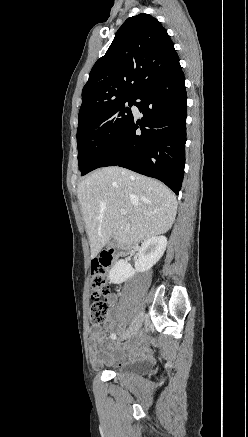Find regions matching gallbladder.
<instances>
[{
	"instance_id": "bac80fb5",
	"label": "gallbladder",
	"mask_w": 248,
	"mask_h": 437,
	"mask_svg": "<svg viewBox=\"0 0 248 437\" xmlns=\"http://www.w3.org/2000/svg\"><path fill=\"white\" fill-rule=\"evenodd\" d=\"M110 244H115V240L112 238Z\"/></svg>"
}]
</instances>
